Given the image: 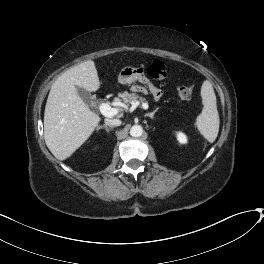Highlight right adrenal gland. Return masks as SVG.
Segmentation results:
<instances>
[{
	"label": "right adrenal gland",
	"mask_w": 264,
	"mask_h": 264,
	"mask_svg": "<svg viewBox=\"0 0 264 264\" xmlns=\"http://www.w3.org/2000/svg\"><path fill=\"white\" fill-rule=\"evenodd\" d=\"M100 129H105L107 132H109L112 128L108 127L107 125H103V126L98 127V130H100Z\"/></svg>",
	"instance_id": "1"
}]
</instances>
